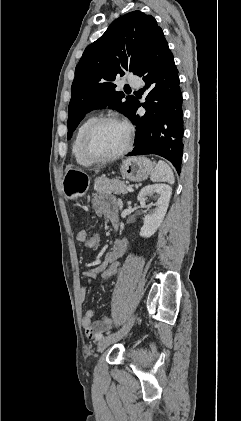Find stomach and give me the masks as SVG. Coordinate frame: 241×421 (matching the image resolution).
I'll return each mask as SVG.
<instances>
[{
    "mask_svg": "<svg viewBox=\"0 0 241 421\" xmlns=\"http://www.w3.org/2000/svg\"><path fill=\"white\" fill-rule=\"evenodd\" d=\"M153 163L146 157H130L122 161L120 172L123 178L130 181L145 180L153 171ZM90 177L81 169L70 168L63 181V193L67 199L77 200L89 188Z\"/></svg>",
    "mask_w": 241,
    "mask_h": 421,
    "instance_id": "0dacf381",
    "label": "stomach"
}]
</instances>
